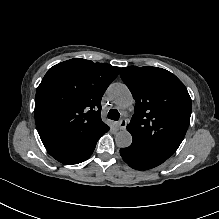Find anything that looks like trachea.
Returning <instances> with one entry per match:
<instances>
[{
    "label": "trachea",
    "mask_w": 219,
    "mask_h": 219,
    "mask_svg": "<svg viewBox=\"0 0 219 219\" xmlns=\"http://www.w3.org/2000/svg\"><path fill=\"white\" fill-rule=\"evenodd\" d=\"M107 117L111 120L118 121L120 119V113L117 110L112 109L108 112Z\"/></svg>",
    "instance_id": "trachea-1"
}]
</instances>
